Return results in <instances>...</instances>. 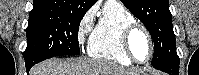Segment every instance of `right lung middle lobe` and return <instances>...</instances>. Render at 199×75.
I'll list each match as a JSON object with an SVG mask.
<instances>
[{
  "label": "right lung middle lobe",
  "instance_id": "1",
  "mask_svg": "<svg viewBox=\"0 0 199 75\" xmlns=\"http://www.w3.org/2000/svg\"><path fill=\"white\" fill-rule=\"evenodd\" d=\"M84 15L58 7L33 8L26 28L24 59L38 63L55 56L79 55L78 29Z\"/></svg>",
  "mask_w": 199,
  "mask_h": 75
}]
</instances>
